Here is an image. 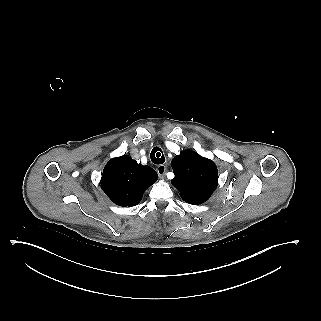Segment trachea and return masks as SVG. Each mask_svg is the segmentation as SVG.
<instances>
[{"instance_id": "obj_1", "label": "trachea", "mask_w": 321, "mask_h": 321, "mask_svg": "<svg viewBox=\"0 0 321 321\" xmlns=\"http://www.w3.org/2000/svg\"><path fill=\"white\" fill-rule=\"evenodd\" d=\"M151 161L154 164H163L165 162V157L160 148L155 147L150 154Z\"/></svg>"}]
</instances>
